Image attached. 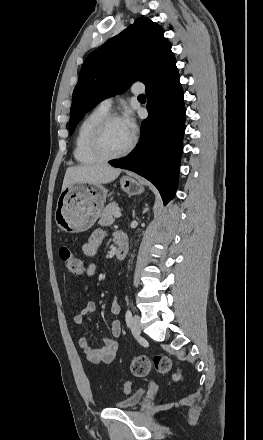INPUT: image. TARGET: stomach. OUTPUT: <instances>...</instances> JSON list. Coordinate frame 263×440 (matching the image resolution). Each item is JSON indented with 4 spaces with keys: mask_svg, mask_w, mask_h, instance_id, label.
I'll use <instances>...</instances> for the list:
<instances>
[{
    "mask_svg": "<svg viewBox=\"0 0 263 440\" xmlns=\"http://www.w3.org/2000/svg\"><path fill=\"white\" fill-rule=\"evenodd\" d=\"M120 185L128 195L144 191L143 184L131 176H123ZM107 193L100 185L72 183L62 189L55 211L58 228L66 233H79L91 228L101 215Z\"/></svg>",
    "mask_w": 263,
    "mask_h": 440,
    "instance_id": "0dacf381",
    "label": "stomach"
}]
</instances>
